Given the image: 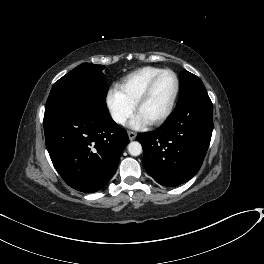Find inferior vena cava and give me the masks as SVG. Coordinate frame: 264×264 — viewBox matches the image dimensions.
<instances>
[{
	"label": "inferior vena cava",
	"mask_w": 264,
	"mask_h": 264,
	"mask_svg": "<svg viewBox=\"0 0 264 264\" xmlns=\"http://www.w3.org/2000/svg\"><path fill=\"white\" fill-rule=\"evenodd\" d=\"M112 117H113L114 121L117 122V123L124 124L126 122L125 116H123V115H121L119 113H114L112 115Z\"/></svg>",
	"instance_id": "inferior-vena-cava-1"
}]
</instances>
